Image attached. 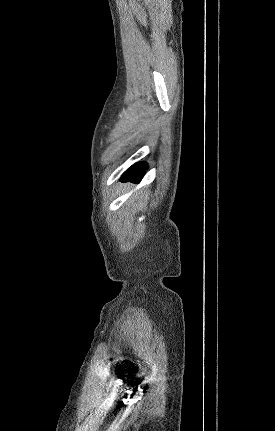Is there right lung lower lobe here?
Returning <instances> with one entry per match:
<instances>
[{
    "label": "right lung lower lobe",
    "instance_id": "right-lung-lower-lobe-1",
    "mask_svg": "<svg viewBox=\"0 0 275 431\" xmlns=\"http://www.w3.org/2000/svg\"><path fill=\"white\" fill-rule=\"evenodd\" d=\"M147 168L146 162H139L130 167L122 176V181H132L139 183L143 177L144 169Z\"/></svg>",
    "mask_w": 275,
    "mask_h": 431
}]
</instances>
